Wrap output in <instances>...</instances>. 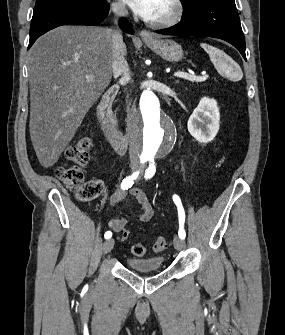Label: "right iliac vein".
Returning <instances> with one entry per match:
<instances>
[{"label": "right iliac vein", "mask_w": 285, "mask_h": 335, "mask_svg": "<svg viewBox=\"0 0 285 335\" xmlns=\"http://www.w3.org/2000/svg\"><path fill=\"white\" fill-rule=\"evenodd\" d=\"M113 246H114L113 239L106 240L103 245V254L109 253L112 250Z\"/></svg>", "instance_id": "obj_1"}]
</instances>
